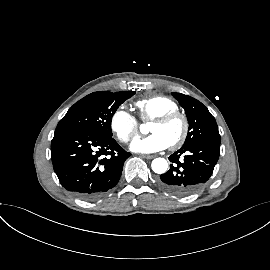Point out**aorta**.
<instances>
[{
    "label": "aorta",
    "mask_w": 270,
    "mask_h": 270,
    "mask_svg": "<svg viewBox=\"0 0 270 270\" xmlns=\"http://www.w3.org/2000/svg\"><path fill=\"white\" fill-rule=\"evenodd\" d=\"M145 125H142L141 126V132L142 133H145ZM151 167H152V170L155 172V173H158V174H163L167 171V168H168V162L166 159L164 158H155L153 161H152V164H151Z\"/></svg>",
    "instance_id": "aorta-1"
}]
</instances>
